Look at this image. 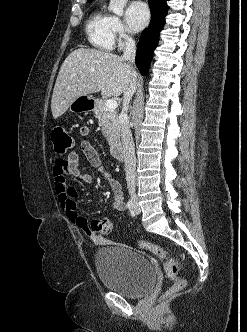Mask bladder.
Wrapping results in <instances>:
<instances>
[{"label":"bladder","mask_w":247,"mask_h":332,"mask_svg":"<svg viewBox=\"0 0 247 332\" xmlns=\"http://www.w3.org/2000/svg\"><path fill=\"white\" fill-rule=\"evenodd\" d=\"M95 267L106 288L128 298L144 296L156 282V270L149 257L124 244L99 249Z\"/></svg>","instance_id":"1"}]
</instances>
